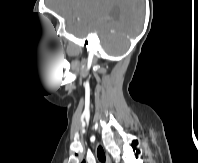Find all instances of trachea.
<instances>
[{
    "label": "trachea",
    "mask_w": 198,
    "mask_h": 163,
    "mask_svg": "<svg viewBox=\"0 0 198 163\" xmlns=\"http://www.w3.org/2000/svg\"><path fill=\"white\" fill-rule=\"evenodd\" d=\"M97 157H98L100 162L105 163L106 156H105V152H104V150L101 146H99L98 149H97Z\"/></svg>",
    "instance_id": "3493384b"
}]
</instances>
